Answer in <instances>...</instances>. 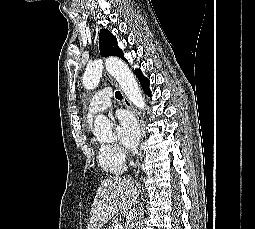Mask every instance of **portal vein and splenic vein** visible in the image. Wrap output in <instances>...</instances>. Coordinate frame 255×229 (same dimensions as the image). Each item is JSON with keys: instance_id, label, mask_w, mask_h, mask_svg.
I'll return each instance as SVG.
<instances>
[{"instance_id": "1", "label": "portal vein and splenic vein", "mask_w": 255, "mask_h": 229, "mask_svg": "<svg viewBox=\"0 0 255 229\" xmlns=\"http://www.w3.org/2000/svg\"><path fill=\"white\" fill-rule=\"evenodd\" d=\"M115 229H123V225L121 224V222H117L115 224Z\"/></svg>"}]
</instances>
